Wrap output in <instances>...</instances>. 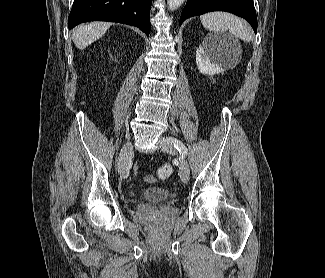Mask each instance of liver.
<instances>
[{"label":"liver","mask_w":325,"mask_h":278,"mask_svg":"<svg viewBox=\"0 0 325 278\" xmlns=\"http://www.w3.org/2000/svg\"><path fill=\"white\" fill-rule=\"evenodd\" d=\"M111 23L91 22L80 25L72 32V40L78 49H84L89 44L100 39L111 26Z\"/></svg>","instance_id":"obj_1"}]
</instances>
